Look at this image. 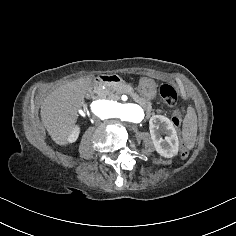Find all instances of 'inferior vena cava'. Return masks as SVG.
<instances>
[{
    "mask_svg": "<svg viewBox=\"0 0 236 236\" xmlns=\"http://www.w3.org/2000/svg\"><path fill=\"white\" fill-rule=\"evenodd\" d=\"M92 120L94 121L95 125H99V123L101 122V120H99V117H96L95 115L92 117Z\"/></svg>",
    "mask_w": 236,
    "mask_h": 236,
    "instance_id": "602c4592",
    "label": "inferior vena cava"
}]
</instances>
